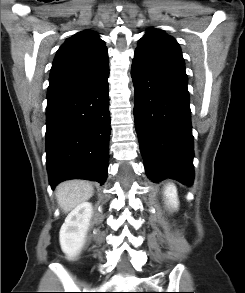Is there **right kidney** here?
Masks as SVG:
<instances>
[{
	"label": "right kidney",
	"instance_id": "right-kidney-1",
	"mask_svg": "<svg viewBox=\"0 0 245 293\" xmlns=\"http://www.w3.org/2000/svg\"><path fill=\"white\" fill-rule=\"evenodd\" d=\"M92 213V204L83 202L76 206L66 217L60 229L59 240L62 251L69 259H73L81 251Z\"/></svg>",
	"mask_w": 245,
	"mask_h": 293
}]
</instances>
